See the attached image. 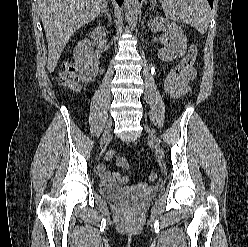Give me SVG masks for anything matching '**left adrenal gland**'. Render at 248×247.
<instances>
[{"instance_id":"a2214340","label":"left adrenal gland","mask_w":248,"mask_h":247,"mask_svg":"<svg viewBox=\"0 0 248 247\" xmlns=\"http://www.w3.org/2000/svg\"><path fill=\"white\" fill-rule=\"evenodd\" d=\"M156 6V3L155 2H152L151 4H150V8H149V10H152V9H154V7Z\"/></svg>"}]
</instances>
